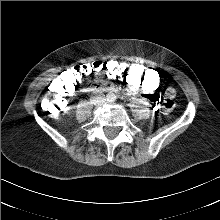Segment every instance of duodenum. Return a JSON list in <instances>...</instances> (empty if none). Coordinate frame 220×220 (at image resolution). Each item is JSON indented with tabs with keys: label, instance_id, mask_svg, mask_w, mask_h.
I'll return each mask as SVG.
<instances>
[{
	"label": "duodenum",
	"instance_id": "obj_1",
	"mask_svg": "<svg viewBox=\"0 0 220 220\" xmlns=\"http://www.w3.org/2000/svg\"><path fill=\"white\" fill-rule=\"evenodd\" d=\"M99 87H101V86H94V85H86V84H84V90H87V91H92V90H97V89H99Z\"/></svg>",
	"mask_w": 220,
	"mask_h": 220
}]
</instances>
